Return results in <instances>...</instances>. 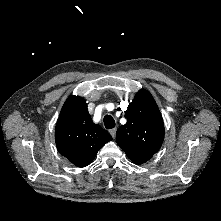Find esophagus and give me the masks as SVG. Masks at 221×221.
<instances>
[{
    "label": "esophagus",
    "mask_w": 221,
    "mask_h": 221,
    "mask_svg": "<svg viewBox=\"0 0 221 221\" xmlns=\"http://www.w3.org/2000/svg\"><path fill=\"white\" fill-rule=\"evenodd\" d=\"M116 131H117L116 128H113V129H110V130H109V133L111 134V136H112L113 138H115Z\"/></svg>",
    "instance_id": "1"
}]
</instances>
